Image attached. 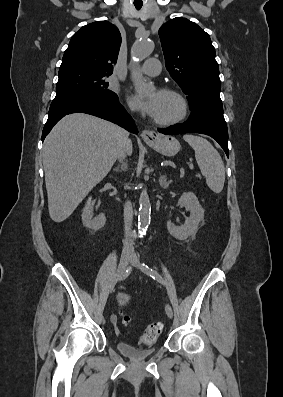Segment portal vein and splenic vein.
<instances>
[{"label":"portal vein and splenic vein","mask_w":283,"mask_h":397,"mask_svg":"<svg viewBox=\"0 0 283 397\" xmlns=\"http://www.w3.org/2000/svg\"><path fill=\"white\" fill-rule=\"evenodd\" d=\"M190 169H191V170L193 169V164H190Z\"/></svg>","instance_id":"18ae733b"}]
</instances>
